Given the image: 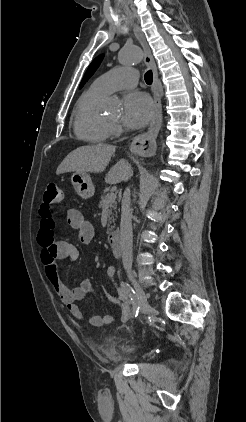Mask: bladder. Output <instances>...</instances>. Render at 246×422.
<instances>
[{
    "mask_svg": "<svg viewBox=\"0 0 246 422\" xmlns=\"http://www.w3.org/2000/svg\"><path fill=\"white\" fill-rule=\"evenodd\" d=\"M137 347L131 343L110 342L102 347V352L111 359H124L133 356Z\"/></svg>",
    "mask_w": 246,
    "mask_h": 422,
    "instance_id": "bladder-1",
    "label": "bladder"
}]
</instances>
